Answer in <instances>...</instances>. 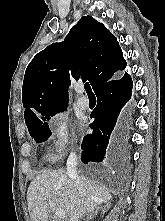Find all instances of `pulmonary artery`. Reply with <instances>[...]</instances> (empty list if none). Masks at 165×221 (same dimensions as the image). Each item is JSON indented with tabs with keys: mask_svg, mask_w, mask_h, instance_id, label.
Wrapping results in <instances>:
<instances>
[{
	"mask_svg": "<svg viewBox=\"0 0 165 221\" xmlns=\"http://www.w3.org/2000/svg\"><path fill=\"white\" fill-rule=\"evenodd\" d=\"M83 91H84V90H83V87H82V86H79V87H78V92H79L80 94H82ZM89 105H90V103H89L88 98H86V97H84V96H80V97L78 98V100H77V106H78L80 109L86 110V109L89 108Z\"/></svg>",
	"mask_w": 165,
	"mask_h": 221,
	"instance_id": "obj_1",
	"label": "pulmonary artery"
}]
</instances>
